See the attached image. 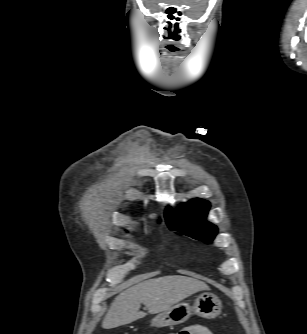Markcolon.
Returning <instances> with one entry per match:
<instances>
[{"label":"colon","mask_w":307,"mask_h":334,"mask_svg":"<svg viewBox=\"0 0 307 334\" xmlns=\"http://www.w3.org/2000/svg\"><path fill=\"white\" fill-rule=\"evenodd\" d=\"M125 334H128V333H125ZM174 334H183L182 331L178 332V333H174Z\"/></svg>","instance_id":"colon-1"}]
</instances>
